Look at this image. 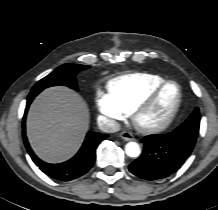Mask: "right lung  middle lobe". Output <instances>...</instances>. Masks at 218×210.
<instances>
[{
	"label": "right lung middle lobe",
	"mask_w": 218,
	"mask_h": 210,
	"mask_svg": "<svg viewBox=\"0 0 218 210\" xmlns=\"http://www.w3.org/2000/svg\"><path fill=\"white\" fill-rule=\"evenodd\" d=\"M90 66L79 64H63L49 75L38 81L32 88L30 94L37 95L43 89L56 86L65 85L77 90L76 75L82 70L88 69Z\"/></svg>",
	"instance_id": "obj_1"
}]
</instances>
